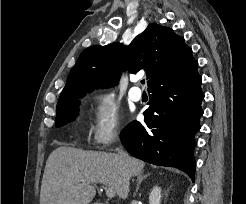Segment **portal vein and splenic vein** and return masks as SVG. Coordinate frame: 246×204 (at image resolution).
Returning <instances> with one entry per match:
<instances>
[{"instance_id": "portal-vein-and-splenic-vein-1", "label": "portal vein and splenic vein", "mask_w": 246, "mask_h": 204, "mask_svg": "<svg viewBox=\"0 0 246 204\" xmlns=\"http://www.w3.org/2000/svg\"><path fill=\"white\" fill-rule=\"evenodd\" d=\"M102 188L105 190L106 195L108 197H114L115 196V191L112 187L102 186Z\"/></svg>"}]
</instances>
